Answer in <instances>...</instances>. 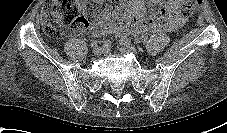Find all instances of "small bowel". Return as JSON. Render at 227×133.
Here are the masks:
<instances>
[{
    "label": "small bowel",
    "mask_w": 227,
    "mask_h": 133,
    "mask_svg": "<svg viewBox=\"0 0 227 133\" xmlns=\"http://www.w3.org/2000/svg\"><path fill=\"white\" fill-rule=\"evenodd\" d=\"M151 5L161 6L162 20L145 17L144 0H123L122 8L115 14L113 20L107 21L103 27L94 31L96 35L113 33L120 37L133 35L142 39L152 29L174 31L181 28L186 18L179 9V0H149Z\"/></svg>",
    "instance_id": "small-bowel-1"
}]
</instances>
